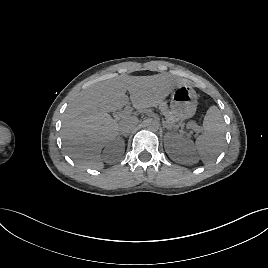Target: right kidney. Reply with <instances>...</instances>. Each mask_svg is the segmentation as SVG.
Returning <instances> with one entry per match:
<instances>
[{
	"label": "right kidney",
	"mask_w": 268,
	"mask_h": 268,
	"mask_svg": "<svg viewBox=\"0 0 268 268\" xmlns=\"http://www.w3.org/2000/svg\"><path fill=\"white\" fill-rule=\"evenodd\" d=\"M125 151L124 140L120 137L108 143L103 151V160L108 164L119 161Z\"/></svg>",
	"instance_id": "obj_1"
}]
</instances>
